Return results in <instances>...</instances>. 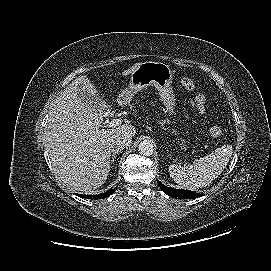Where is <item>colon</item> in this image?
<instances>
[{"mask_svg": "<svg viewBox=\"0 0 271 271\" xmlns=\"http://www.w3.org/2000/svg\"><path fill=\"white\" fill-rule=\"evenodd\" d=\"M180 83H181V86L187 91H193L195 89V83L190 78H187V77L182 78ZM209 134L212 137L220 136L222 134L221 126L218 124L211 126L209 129Z\"/></svg>", "mask_w": 271, "mask_h": 271, "instance_id": "colon-1", "label": "colon"}]
</instances>
